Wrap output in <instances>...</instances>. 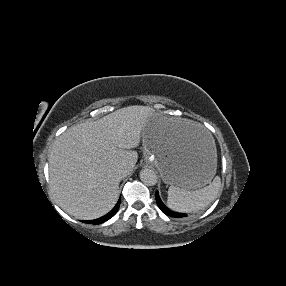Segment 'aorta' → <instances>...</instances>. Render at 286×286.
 <instances>
[{"mask_svg":"<svg viewBox=\"0 0 286 286\" xmlns=\"http://www.w3.org/2000/svg\"><path fill=\"white\" fill-rule=\"evenodd\" d=\"M140 179L141 181L148 185L153 186L157 183V175L152 169H142L140 172Z\"/></svg>","mask_w":286,"mask_h":286,"instance_id":"obj_1","label":"aorta"}]
</instances>
